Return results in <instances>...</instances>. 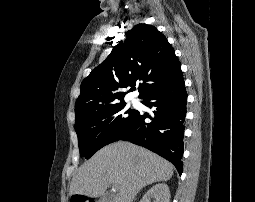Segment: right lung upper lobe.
Segmentation results:
<instances>
[{"instance_id": "obj_1", "label": "right lung upper lobe", "mask_w": 255, "mask_h": 202, "mask_svg": "<svg viewBox=\"0 0 255 202\" xmlns=\"http://www.w3.org/2000/svg\"><path fill=\"white\" fill-rule=\"evenodd\" d=\"M109 56L81 83L75 105L76 120L86 114L124 102L127 92L137 80L139 98L171 86L183 78L181 64L166 37L154 26L137 24L125 33Z\"/></svg>"}]
</instances>
